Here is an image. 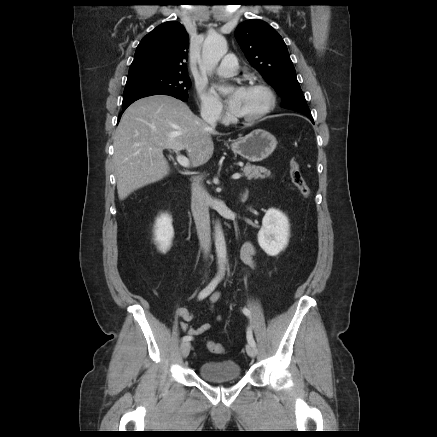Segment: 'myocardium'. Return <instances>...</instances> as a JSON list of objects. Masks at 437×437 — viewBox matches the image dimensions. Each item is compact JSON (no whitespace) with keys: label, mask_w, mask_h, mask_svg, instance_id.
<instances>
[{"label":"myocardium","mask_w":437,"mask_h":437,"mask_svg":"<svg viewBox=\"0 0 437 437\" xmlns=\"http://www.w3.org/2000/svg\"><path fill=\"white\" fill-rule=\"evenodd\" d=\"M246 88L261 90L266 95V104L255 115L243 116V117L234 116L233 120L243 123H255L263 119L266 115H268L273 110L276 103V97L273 90L268 85L261 82H251L247 85Z\"/></svg>","instance_id":"obj_1"}]
</instances>
